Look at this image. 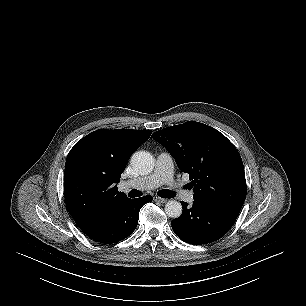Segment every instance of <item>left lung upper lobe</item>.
<instances>
[{
    "instance_id": "5c2ea615",
    "label": "left lung upper lobe",
    "mask_w": 306,
    "mask_h": 306,
    "mask_svg": "<svg viewBox=\"0 0 306 306\" xmlns=\"http://www.w3.org/2000/svg\"><path fill=\"white\" fill-rule=\"evenodd\" d=\"M152 138L189 174L194 201L241 209L247 192L244 166L239 152L222 133L188 121L159 130Z\"/></svg>"
}]
</instances>
